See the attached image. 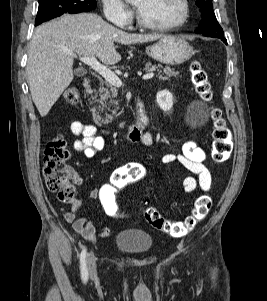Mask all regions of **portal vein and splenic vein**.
<instances>
[{"label":"portal vein and splenic vein","mask_w":267,"mask_h":301,"mask_svg":"<svg viewBox=\"0 0 267 301\" xmlns=\"http://www.w3.org/2000/svg\"><path fill=\"white\" fill-rule=\"evenodd\" d=\"M75 56L74 54H71ZM80 61L91 67L93 70L98 72L104 79L112 84L113 86L116 87H121L122 86V81L119 79V77L112 72L110 69H108L106 66L102 65L97 61V59L94 56H89V57H80ZM153 72H148L142 76V79L148 80L154 77Z\"/></svg>","instance_id":"18ae733b"}]
</instances>
